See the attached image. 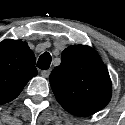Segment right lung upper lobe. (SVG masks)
Listing matches in <instances>:
<instances>
[{"mask_svg":"<svg viewBox=\"0 0 125 125\" xmlns=\"http://www.w3.org/2000/svg\"><path fill=\"white\" fill-rule=\"evenodd\" d=\"M37 73L34 53L26 42L3 40L0 43V104L15 99Z\"/></svg>","mask_w":125,"mask_h":125,"instance_id":"1","label":"right lung upper lobe"}]
</instances>
